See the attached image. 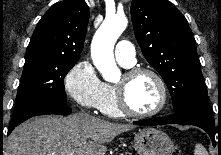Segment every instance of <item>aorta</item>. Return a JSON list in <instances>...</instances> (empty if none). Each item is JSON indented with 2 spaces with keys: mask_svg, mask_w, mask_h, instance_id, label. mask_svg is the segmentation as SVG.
<instances>
[{
  "mask_svg": "<svg viewBox=\"0 0 221 155\" xmlns=\"http://www.w3.org/2000/svg\"><path fill=\"white\" fill-rule=\"evenodd\" d=\"M128 20L125 16L106 18L96 31L91 44V57L94 65L106 81L113 82L120 77L113 49L115 42L126 29Z\"/></svg>",
  "mask_w": 221,
  "mask_h": 155,
  "instance_id": "1",
  "label": "aorta"
}]
</instances>
